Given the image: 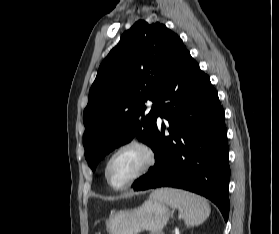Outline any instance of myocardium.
I'll return each instance as SVG.
<instances>
[{"mask_svg":"<svg viewBox=\"0 0 279 234\" xmlns=\"http://www.w3.org/2000/svg\"><path fill=\"white\" fill-rule=\"evenodd\" d=\"M129 149H136L139 150L144 156V162L142 166L138 169V171L132 175L128 180L121 184H114L109 177V169L112 161L122 152L129 150ZM156 161V154L154 149L146 142L140 139H131L126 141L125 143L118 146L109 156L106 165H105V178L107 183L114 189L123 190L130 187L136 181L141 179L144 175L148 173V171L153 167Z\"/></svg>","mask_w":279,"mask_h":234,"instance_id":"1","label":"myocardium"}]
</instances>
